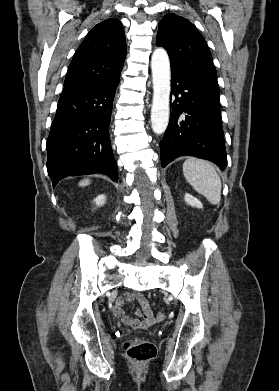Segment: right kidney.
Returning <instances> with one entry per match:
<instances>
[{
    "instance_id": "1",
    "label": "right kidney",
    "mask_w": 279,
    "mask_h": 391,
    "mask_svg": "<svg viewBox=\"0 0 279 391\" xmlns=\"http://www.w3.org/2000/svg\"><path fill=\"white\" fill-rule=\"evenodd\" d=\"M93 201L95 202V204L97 206H102L106 202V196L104 194H101V195L97 196Z\"/></svg>"
}]
</instances>
